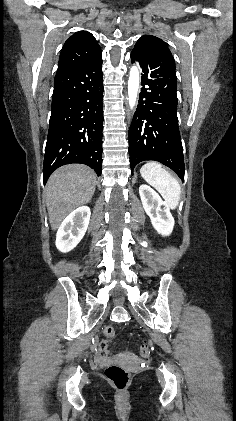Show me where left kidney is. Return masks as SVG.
I'll return each instance as SVG.
<instances>
[{
    "label": "left kidney",
    "mask_w": 236,
    "mask_h": 421,
    "mask_svg": "<svg viewBox=\"0 0 236 421\" xmlns=\"http://www.w3.org/2000/svg\"><path fill=\"white\" fill-rule=\"evenodd\" d=\"M144 211L150 217V221L157 233L168 237L171 235L174 227V219L169 211V206L162 200L158 192H155L148 184L139 186ZM164 206V208H161Z\"/></svg>",
    "instance_id": "left-kidney-1"
}]
</instances>
